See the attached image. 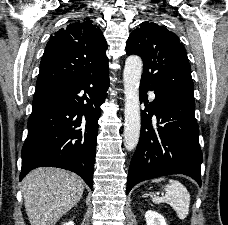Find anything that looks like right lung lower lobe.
Masks as SVG:
<instances>
[{
	"mask_svg": "<svg viewBox=\"0 0 228 225\" xmlns=\"http://www.w3.org/2000/svg\"><path fill=\"white\" fill-rule=\"evenodd\" d=\"M108 86L107 66L76 82L36 91L20 180L34 168L58 167L78 174L92 189L100 106Z\"/></svg>",
	"mask_w": 228,
	"mask_h": 225,
	"instance_id": "98d812e1",
	"label": "right lung lower lobe"
}]
</instances>
